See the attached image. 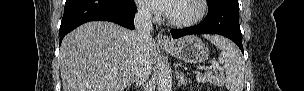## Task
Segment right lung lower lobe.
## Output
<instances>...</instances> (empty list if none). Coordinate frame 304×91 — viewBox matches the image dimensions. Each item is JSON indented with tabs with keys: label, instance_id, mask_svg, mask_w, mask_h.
Here are the masks:
<instances>
[{
	"label": "right lung lower lobe",
	"instance_id": "right-lung-lower-lobe-1",
	"mask_svg": "<svg viewBox=\"0 0 304 91\" xmlns=\"http://www.w3.org/2000/svg\"><path fill=\"white\" fill-rule=\"evenodd\" d=\"M136 10L133 0H66L60 41L67 33L88 21H111L134 29Z\"/></svg>",
	"mask_w": 304,
	"mask_h": 91
}]
</instances>
